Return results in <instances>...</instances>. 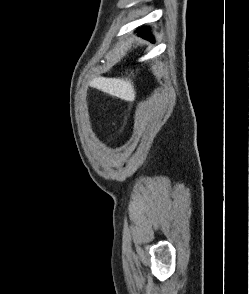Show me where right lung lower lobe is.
Here are the masks:
<instances>
[{"mask_svg":"<svg viewBox=\"0 0 249 294\" xmlns=\"http://www.w3.org/2000/svg\"><path fill=\"white\" fill-rule=\"evenodd\" d=\"M139 33H140V35L143 36L144 38L150 39V34H149V32H148L147 30H145V29H141V30H139Z\"/></svg>","mask_w":249,"mask_h":294,"instance_id":"right-lung-lower-lobe-1","label":"right lung lower lobe"}]
</instances>
